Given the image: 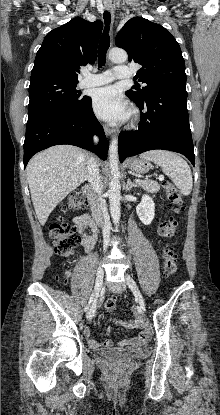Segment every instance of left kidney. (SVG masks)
<instances>
[{"label": "left kidney", "mask_w": 220, "mask_h": 415, "mask_svg": "<svg viewBox=\"0 0 220 415\" xmlns=\"http://www.w3.org/2000/svg\"><path fill=\"white\" fill-rule=\"evenodd\" d=\"M136 213L143 224H151L155 216V204L150 196H142L141 202L136 207Z\"/></svg>", "instance_id": "5707ae66"}]
</instances>
